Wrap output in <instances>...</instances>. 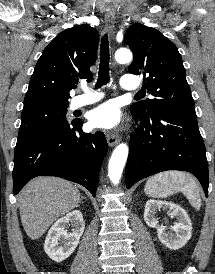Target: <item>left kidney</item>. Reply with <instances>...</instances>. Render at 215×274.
<instances>
[{
    "instance_id": "left-kidney-1",
    "label": "left kidney",
    "mask_w": 215,
    "mask_h": 274,
    "mask_svg": "<svg viewBox=\"0 0 215 274\" xmlns=\"http://www.w3.org/2000/svg\"><path fill=\"white\" fill-rule=\"evenodd\" d=\"M160 209L168 210L171 217L177 219V222L170 229L159 225L155 215ZM144 220L148 226L157 229L160 242L169 249L177 250L182 248L192 236V223L188 213L174 203L156 200L147 201L144 210Z\"/></svg>"
}]
</instances>
